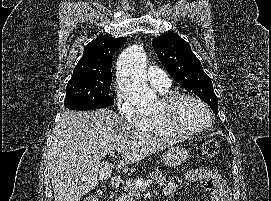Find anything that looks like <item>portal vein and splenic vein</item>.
Returning a JSON list of instances; mask_svg holds the SVG:
<instances>
[{
  "label": "portal vein and splenic vein",
  "mask_w": 271,
  "mask_h": 201,
  "mask_svg": "<svg viewBox=\"0 0 271 201\" xmlns=\"http://www.w3.org/2000/svg\"><path fill=\"white\" fill-rule=\"evenodd\" d=\"M122 150H123L122 146H119L116 148L117 153H121ZM152 183H153V180H146V181L135 180L134 181V185L139 189H145L147 186L151 185Z\"/></svg>",
  "instance_id": "18ae733b"
}]
</instances>
